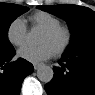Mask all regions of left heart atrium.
I'll return each mask as SVG.
<instances>
[{"label":"left heart atrium","mask_w":95,"mask_h":95,"mask_svg":"<svg viewBox=\"0 0 95 95\" xmlns=\"http://www.w3.org/2000/svg\"><path fill=\"white\" fill-rule=\"evenodd\" d=\"M18 55L25 60L37 63L50 58L53 55V51L47 44L27 45L18 51Z\"/></svg>","instance_id":"obj_1"}]
</instances>
